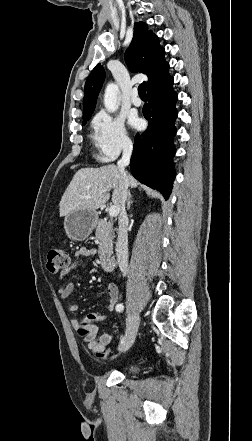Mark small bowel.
<instances>
[{"mask_svg":"<svg viewBox=\"0 0 252 441\" xmlns=\"http://www.w3.org/2000/svg\"><path fill=\"white\" fill-rule=\"evenodd\" d=\"M94 254H95L94 249L83 247L75 253V259L72 262H69L68 266L63 269L58 285V292L63 299L69 297L74 289V284L71 281L65 282L64 277L69 272H71L72 270L78 267L79 260L81 257L92 256ZM107 292H108V298L106 302V310L113 311L116 309V306L118 305L117 303L118 288L115 284L111 283L108 285ZM80 306H81L80 303L75 302L69 306V310L72 312L77 311L79 310ZM74 324L77 327V323ZM97 333H98V329L96 325H94L92 326L90 332L83 339V341L87 343L88 348L95 355H97L100 352L106 351L108 345L111 343V341L114 338V335L112 334H102L98 336Z\"/></svg>","mask_w":252,"mask_h":441,"instance_id":"c3829d8e","label":"small bowel"}]
</instances>
